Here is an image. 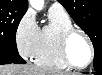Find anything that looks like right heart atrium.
<instances>
[{
	"label": "right heart atrium",
	"instance_id": "obj_1",
	"mask_svg": "<svg viewBox=\"0 0 102 75\" xmlns=\"http://www.w3.org/2000/svg\"><path fill=\"white\" fill-rule=\"evenodd\" d=\"M39 26L32 11H27L15 28V42L25 59H32L37 49Z\"/></svg>",
	"mask_w": 102,
	"mask_h": 75
}]
</instances>
